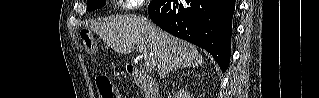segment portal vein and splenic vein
<instances>
[{"label": "portal vein and splenic vein", "instance_id": "18ae733b", "mask_svg": "<svg viewBox=\"0 0 319 98\" xmlns=\"http://www.w3.org/2000/svg\"><path fill=\"white\" fill-rule=\"evenodd\" d=\"M137 50L138 52H140L142 54V56L144 57V62L145 65L147 67H153L156 65L152 54H150L149 52H147V50L143 47V46H137Z\"/></svg>", "mask_w": 319, "mask_h": 98}]
</instances>
